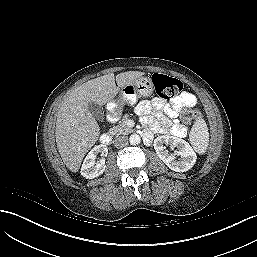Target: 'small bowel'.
Wrapping results in <instances>:
<instances>
[{
    "label": "small bowel",
    "instance_id": "obj_1",
    "mask_svg": "<svg viewBox=\"0 0 257 257\" xmlns=\"http://www.w3.org/2000/svg\"><path fill=\"white\" fill-rule=\"evenodd\" d=\"M196 103V97L189 92H183L169 103L160 98H155L152 101H141L137 105L136 111L142 116L144 124L150 128V131H146L148 136L145 138L146 141L151 140L152 132L184 136L186 128L170 119L176 117L181 108L192 107Z\"/></svg>",
    "mask_w": 257,
    "mask_h": 257
}]
</instances>
